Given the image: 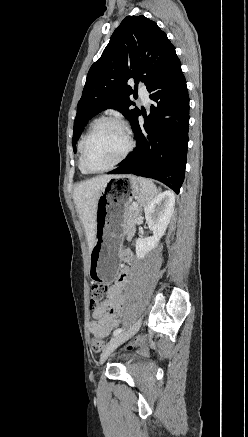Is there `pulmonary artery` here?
I'll list each match as a JSON object with an SVG mask.
<instances>
[{
  "label": "pulmonary artery",
  "mask_w": 248,
  "mask_h": 437,
  "mask_svg": "<svg viewBox=\"0 0 248 437\" xmlns=\"http://www.w3.org/2000/svg\"><path fill=\"white\" fill-rule=\"evenodd\" d=\"M138 93H139V97L141 98L143 103L147 104L149 102V94H148L147 90L143 87H140Z\"/></svg>",
  "instance_id": "1"
}]
</instances>
